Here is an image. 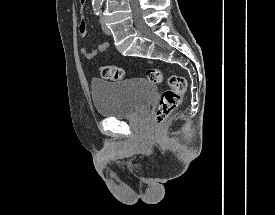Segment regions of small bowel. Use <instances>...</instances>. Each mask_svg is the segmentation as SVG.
<instances>
[{"mask_svg":"<svg viewBox=\"0 0 275 215\" xmlns=\"http://www.w3.org/2000/svg\"><path fill=\"white\" fill-rule=\"evenodd\" d=\"M84 1V0H83ZM78 34L81 39H85L88 34V26L85 20H82L78 26ZM109 42L101 43L96 49L89 50L86 47L80 48V53L86 60H93L99 53L106 51L109 48Z\"/></svg>","mask_w":275,"mask_h":215,"instance_id":"obj_1","label":"small bowel"}]
</instances>
